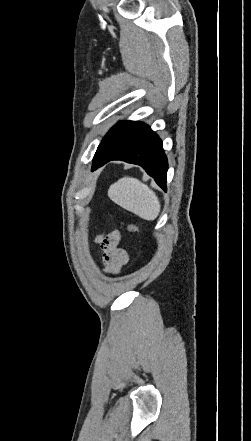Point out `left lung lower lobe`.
Listing matches in <instances>:
<instances>
[{
    "label": "left lung lower lobe",
    "instance_id": "obj_1",
    "mask_svg": "<svg viewBox=\"0 0 251 441\" xmlns=\"http://www.w3.org/2000/svg\"><path fill=\"white\" fill-rule=\"evenodd\" d=\"M111 160L140 165L166 191L167 158L161 139L148 125L135 121L115 125L98 146L92 170Z\"/></svg>",
    "mask_w": 251,
    "mask_h": 441
}]
</instances>
